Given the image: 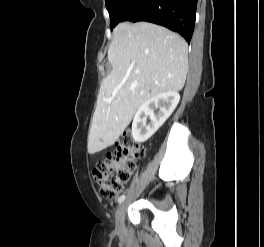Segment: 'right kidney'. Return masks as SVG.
I'll list each match as a JSON object with an SVG mask.
<instances>
[{
  "instance_id": "1",
  "label": "right kidney",
  "mask_w": 264,
  "mask_h": 247,
  "mask_svg": "<svg viewBox=\"0 0 264 247\" xmlns=\"http://www.w3.org/2000/svg\"><path fill=\"white\" fill-rule=\"evenodd\" d=\"M179 100L178 92L167 91L144 102L133 119L132 137L134 141L138 143L147 141L169 118ZM154 108H159V111L154 113ZM147 118L150 119L148 124Z\"/></svg>"
}]
</instances>
